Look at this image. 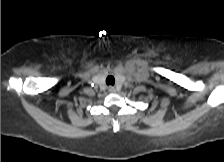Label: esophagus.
Here are the masks:
<instances>
[{
	"instance_id": "34e87169",
	"label": "esophagus",
	"mask_w": 224,
	"mask_h": 162,
	"mask_svg": "<svg viewBox=\"0 0 224 162\" xmlns=\"http://www.w3.org/2000/svg\"><path fill=\"white\" fill-rule=\"evenodd\" d=\"M108 91H109L110 93H115V92H116V89H115V87H113V86H109V87H108Z\"/></svg>"
}]
</instances>
